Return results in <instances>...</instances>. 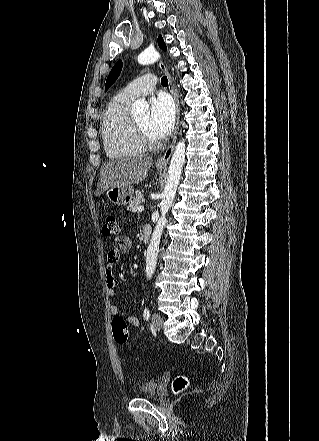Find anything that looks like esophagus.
<instances>
[{
    "label": "esophagus",
    "instance_id": "34e87169",
    "mask_svg": "<svg viewBox=\"0 0 319 441\" xmlns=\"http://www.w3.org/2000/svg\"><path fill=\"white\" fill-rule=\"evenodd\" d=\"M160 69L166 74L167 79H168V88H169V92L171 93L174 102H175V106H176V121H175V130H174V136H173V141L170 144V146L167 148V150L165 151V153L157 159L156 164L157 165H166L173 153L175 144H176V140H177V134H178V128H179V121H180V106H179V101L177 98V95L175 93L173 84H172V78L170 76V73L166 67V65L162 62L159 61L158 63Z\"/></svg>",
    "mask_w": 319,
    "mask_h": 441
}]
</instances>
